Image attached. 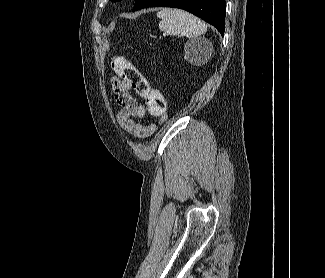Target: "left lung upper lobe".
Here are the masks:
<instances>
[{
  "label": "left lung upper lobe",
  "mask_w": 325,
  "mask_h": 278,
  "mask_svg": "<svg viewBox=\"0 0 325 278\" xmlns=\"http://www.w3.org/2000/svg\"><path fill=\"white\" fill-rule=\"evenodd\" d=\"M112 1L117 2V1H121V0H112Z\"/></svg>",
  "instance_id": "obj_1"
}]
</instances>
